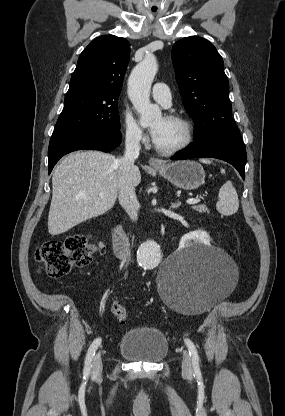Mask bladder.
<instances>
[{
  "label": "bladder",
  "instance_id": "obj_1",
  "mask_svg": "<svg viewBox=\"0 0 285 416\" xmlns=\"http://www.w3.org/2000/svg\"><path fill=\"white\" fill-rule=\"evenodd\" d=\"M118 353L130 361L157 362L167 355L168 342L158 328L135 327L124 332Z\"/></svg>",
  "mask_w": 285,
  "mask_h": 416
}]
</instances>
